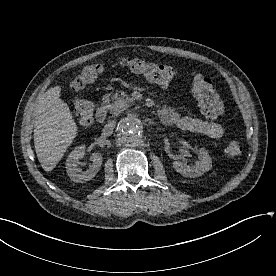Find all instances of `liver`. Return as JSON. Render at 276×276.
I'll use <instances>...</instances> for the list:
<instances>
[{"instance_id": "liver-1", "label": "liver", "mask_w": 276, "mask_h": 276, "mask_svg": "<svg viewBox=\"0 0 276 276\" xmlns=\"http://www.w3.org/2000/svg\"><path fill=\"white\" fill-rule=\"evenodd\" d=\"M60 94V86L48 89L34 109L35 151L46 172L56 167L78 133L72 112Z\"/></svg>"}]
</instances>
